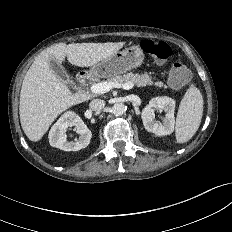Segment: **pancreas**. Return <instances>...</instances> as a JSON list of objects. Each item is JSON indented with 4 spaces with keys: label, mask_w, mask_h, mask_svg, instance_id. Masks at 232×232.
Returning <instances> with one entry per match:
<instances>
[{
    "label": "pancreas",
    "mask_w": 232,
    "mask_h": 232,
    "mask_svg": "<svg viewBox=\"0 0 232 232\" xmlns=\"http://www.w3.org/2000/svg\"><path fill=\"white\" fill-rule=\"evenodd\" d=\"M108 82H114L119 84H125L128 82H132L136 84L137 86H146V85H155L157 87H164L167 88V85H165L162 81L153 82V77L148 75L147 73L144 74H138V73H127L124 75H116L114 77H111L108 79Z\"/></svg>",
    "instance_id": "pancreas-1"
}]
</instances>
